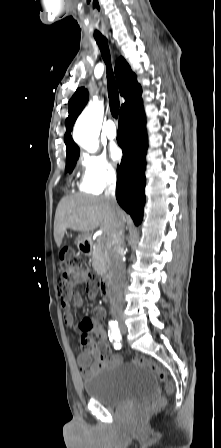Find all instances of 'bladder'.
I'll list each match as a JSON object with an SVG mask.
<instances>
[{"label":"bladder","instance_id":"31cf9c89","mask_svg":"<svg viewBox=\"0 0 221 448\" xmlns=\"http://www.w3.org/2000/svg\"><path fill=\"white\" fill-rule=\"evenodd\" d=\"M84 391L107 407L147 399L155 392V379L146 368L116 361L83 381Z\"/></svg>","mask_w":221,"mask_h":448}]
</instances>
